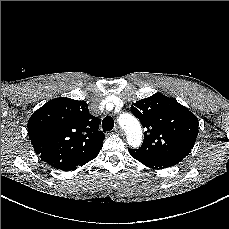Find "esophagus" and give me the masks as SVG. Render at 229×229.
I'll return each mask as SVG.
<instances>
[{"instance_id":"esophagus-1","label":"esophagus","mask_w":229,"mask_h":229,"mask_svg":"<svg viewBox=\"0 0 229 229\" xmlns=\"http://www.w3.org/2000/svg\"><path fill=\"white\" fill-rule=\"evenodd\" d=\"M114 132L117 133V134L123 135V130L121 129L120 126H116L114 128Z\"/></svg>"}]
</instances>
